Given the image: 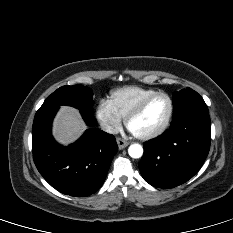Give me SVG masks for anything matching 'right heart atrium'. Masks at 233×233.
Wrapping results in <instances>:
<instances>
[{
	"label": "right heart atrium",
	"instance_id": "right-heart-atrium-1",
	"mask_svg": "<svg viewBox=\"0 0 233 233\" xmlns=\"http://www.w3.org/2000/svg\"><path fill=\"white\" fill-rule=\"evenodd\" d=\"M96 117L103 129L110 134L116 133L121 127L122 118L108 100L99 102L96 108Z\"/></svg>",
	"mask_w": 233,
	"mask_h": 233
}]
</instances>
